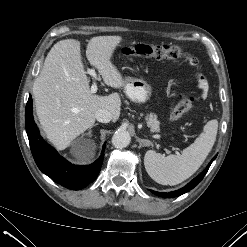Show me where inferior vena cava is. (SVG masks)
Returning <instances> with one entry per match:
<instances>
[{
	"label": "inferior vena cava",
	"instance_id": "602c4592",
	"mask_svg": "<svg viewBox=\"0 0 247 247\" xmlns=\"http://www.w3.org/2000/svg\"><path fill=\"white\" fill-rule=\"evenodd\" d=\"M95 118L101 123H108L112 120V114L106 109H99L95 113Z\"/></svg>",
	"mask_w": 247,
	"mask_h": 247
}]
</instances>
